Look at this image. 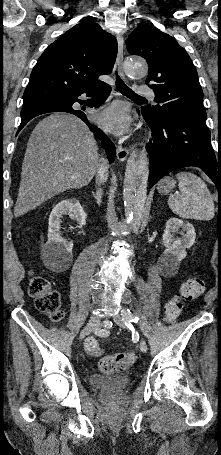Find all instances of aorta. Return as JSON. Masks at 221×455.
I'll return each mask as SVG.
<instances>
[{"instance_id":"762f6f07","label":"aorta","mask_w":221,"mask_h":455,"mask_svg":"<svg viewBox=\"0 0 221 455\" xmlns=\"http://www.w3.org/2000/svg\"><path fill=\"white\" fill-rule=\"evenodd\" d=\"M125 73L132 77H144L148 67L143 60L129 57L123 64ZM149 176V160L146 151L132 153L127 160L123 199L125 216L129 225L137 231L144 214V205L147 193Z\"/></svg>"}]
</instances>
